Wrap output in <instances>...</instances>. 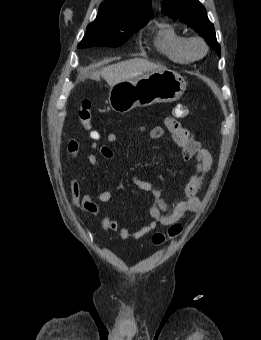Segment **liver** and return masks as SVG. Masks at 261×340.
I'll use <instances>...</instances> for the list:
<instances>
[{
	"label": "liver",
	"instance_id": "liver-1",
	"mask_svg": "<svg viewBox=\"0 0 261 340\" xmlns=\"http://www.w3.org/2000/svg\"><path fill=\"white\" fill-rule=\"evenodd\" d=\"M165 69V67L154 64L146 59L134 58L104 67L101 72L93 73L91 78L99 79L101 75L108 85L112 87L117 83L134 79L144 73L157 72Z\"/></svg>",
	"mask_w": 261,
	"mask_h": 340
}]
</instances>
